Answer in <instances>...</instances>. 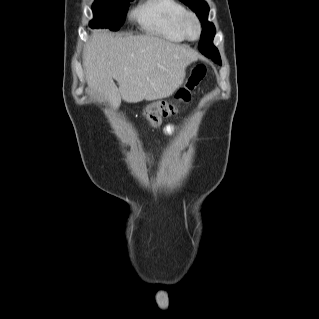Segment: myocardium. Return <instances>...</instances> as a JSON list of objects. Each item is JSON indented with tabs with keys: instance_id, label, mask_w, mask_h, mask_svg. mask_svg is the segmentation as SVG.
<instances>
[{
	"instance_id": "f54148a6",
	"label": "myocardium",
	"mask_w": 319,
	"mask_h": 319,
	"mask_svg": "<svg viewBox=\"0 0 319 319\" xmlns=\"http://www.w3.org/2000/svg\"><path fill=\"white\" fill-rule=\"evenodd\" d=\"M194 24L196 27V34H192L190 25ZM179 29L184 37L190 41H195L200 38L202 27L197 15L193 12L187 11L179 22Z\"/></svg>"
}]
</instances>
